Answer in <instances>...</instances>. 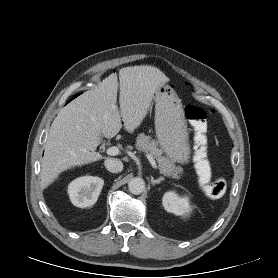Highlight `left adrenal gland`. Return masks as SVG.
Listing matches in <instances>:
<instances>
[{
	"instance_id": "1",
	"label": "left adrenal gland",
	"mask_w": 278,
	"mask_h": 278,
	"mask_svg": "<svg viewBox=\"0 0 278 278\" xmlns=\"http://www.w3.org/2000/svg\"><path fill=\"white\" fill-rule=\"evenodd\" d=\"M161 181H164L163 177H159L158 179L151 178V183H152L153 186L156 185V184H160Z\"/></svg>"
}]
</instances>
